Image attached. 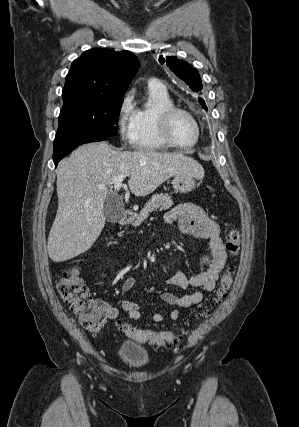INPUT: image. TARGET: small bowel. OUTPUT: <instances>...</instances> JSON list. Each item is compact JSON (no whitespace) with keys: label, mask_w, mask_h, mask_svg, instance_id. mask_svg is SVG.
I'll return each mask as SVG.
<instances>
[{"label":"small bowel","mask_w":299,"mask_h":427,"mask_svg":"<svg viewBox=\"0 0 299 427\" xmlns=\"http://www.w3.org/2000/svg\"><path fill=\"white\" fill-rule=\"evenodd\" d=\"M178 222L183 231L191 235H197L209 240V252L199 257L201 271L190 277L183 273L172 275L168 281L170 284L181 287L197 288L195 292L177 296L171 292H163L161 298L173 306L168 316L152 314L150 317L155 322H164L167 319L177 320L180 317V309L198 305L202 302L204 294L214 290L221 271L224 268L227 254L221 237V227L210 218L199 206L192 203H181L164 216V224L170 225ZM136 284L135 277L127 278L121 288V306L127 316L134 321L143 319L144 315L138 305L128 297V292ZM102 305L110 320L118 317V310L111 304L103 301Z\"/></svg>","instance_id":"c3829d8e"}]
</instances>
